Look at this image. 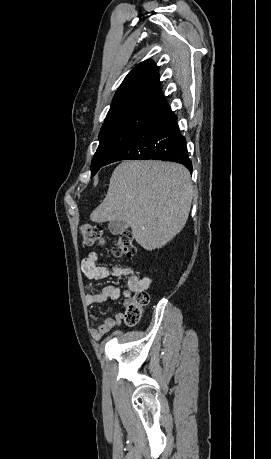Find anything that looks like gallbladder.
Listing matches in <instances>:
<instances>
[{
	"label": "gallbladder",
	"mask_w": 271,
	"mask_h": 459,
	"mask_svg": "<svg viewBox=\"0 0 271 459\" xmlns=\"http://www.w3.org/2000/svg\"><path fill=\"white\" fill-rule=\"evenodd\" d=\"M129 228V224L127 222H121V220H113L108 224V229H110L113 235H118V233H122L125 229Z\"/></svg>",
	"instance_id": "1"
}]
</instances>
